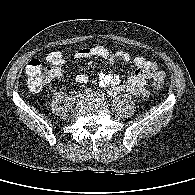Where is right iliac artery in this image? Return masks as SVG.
<instances>
[{
	"instance_id": "obj_1",
	"label": "right iliac artery",
	"mask_w": 195,
	"mask_h": 195,
	"mask_svg": "<svg viewBox=\"0 0 195 195\" xmlns=\"http://www.w3.org/2000/svg\"><path fill=\"white\" fill-rule=\"evenodd\" d=\"M89 92H91V90H89V89H86V90L84 91V93H86V94H88Z\"/></svg>"
}]
</instances>
